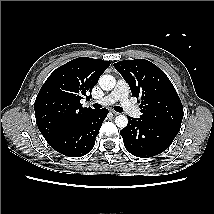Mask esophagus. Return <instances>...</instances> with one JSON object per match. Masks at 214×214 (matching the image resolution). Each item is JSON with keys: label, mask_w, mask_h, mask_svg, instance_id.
Here are the masks:
<instances>
[{"label": "esophagus", "mask_w": 214, "mask_h": 214, "mask_svg": "<svg viewBox=\"0 0 214 214\" xmlns=\"http://www.w3.org/2000/svg\"><path fill=\"white\" fill-rule=\"evenodd\" d=\"M111 112H112V114L115 115V116L119 115V113L116 112V111H113V110H112Z\"/></svg>", "instance_id": "esophagus-1"}]
</instances>
